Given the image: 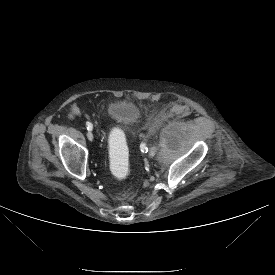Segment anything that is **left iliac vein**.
Wrapping results in <instances>:
<instances>
[{
	"mask_svg": "<svg viewBox=\"0 0 275 275\" xmlns=\"http://www.w3.org/2000/svg\"><path fill=\"white\" fill-rule=\"evenodd\" d=\"M157 148L156 146H152L149 150V156L153 157L156 154Z\"/></svg>",
	"mask_w": 275,
	"mask_h": 275,
	"instance_id": "4c4485c4",
	"label": "left iliac vein"
}]
</instances>
